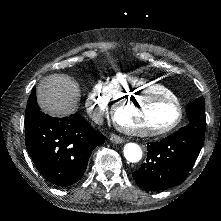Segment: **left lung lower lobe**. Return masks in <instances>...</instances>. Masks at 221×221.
Masks as SVG:
<instances>
[{"instance_id":"obj_1","label":"left lung lower lobe","mask_w":221,"mask_h":221,"mask_svg":"<svg viewBox=\"0 0 221 221\" xmlns=\"http://www.w3.org/2000/svg\"><path fill=\"white\" fill-rule=\"evenodd\" d=\"M204 131L190 125L150 143L146 163L132 174L137 185L146 191H158L181 184L200 153Z\"/></svg>"}]
</instances>
